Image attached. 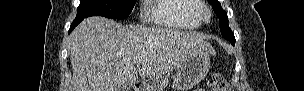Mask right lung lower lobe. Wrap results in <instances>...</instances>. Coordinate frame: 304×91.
<instances>
[{
    "mask_svg": "<svg viewBox=\"0 0 304 91\" xmlns=\"http://www.w3.org/2000/svg\"><path fill=\"white\" fill-rule=\"evenodd\" d=\"M82 21V19L75 18L70 26L69 33Z\"/></svg>",
    "mask_w": 304,
    "mask_h": 91,
    "instance_id": "obj_1",
    "label": "right lung lower lobe"
}]
</instances>
